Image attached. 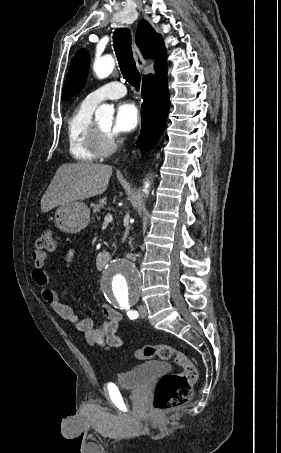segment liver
<instances>
[{
  "instance_id": "6515ba94",
  "label": "liver",
  "mask_w": 281,
  "mask_h": 453,
  "mask_svg": "<svg viewBox=\"0 0 281 453\" xmlns=\"http://www.w3.org/2000/svg\"><path fill=\"white\" fill-rule=\"evenodd\" d=\"M113 166L95 162H65L55 172L45 194L41 198L42 212H48L58 204L85 200L103 194L107 188Z\"/></svg>"
}]
</instances>
